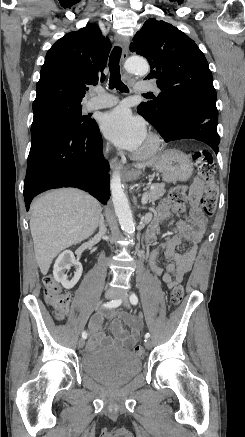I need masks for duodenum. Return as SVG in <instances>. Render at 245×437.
Instances as JSON below:
<instances>
[{
  "label": "duodenum",
  "mask_w": 245,
  "mask_h": 437,
  "mask_svg": "<svg viewBox=\"0 0 245 437\" xmlns=\"http://www.w3.org/2000/svg\"><path fill=\"white\" fill-rule=\"evenodd\" d=\"M152 239H153V238H152L149 234H147V241H148V242H151Z\"/></svg>",
  "instance_id": "1"
}]
</instances>
